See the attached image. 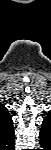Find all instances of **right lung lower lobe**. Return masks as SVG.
<instances>
[{
	"instance_id": "1",
	"label": "right lung lower lobe",
	"mask_w": 51,
	"mask_h": 150,
	"mask_svg": "<svg viewBox=\"0 0 51 150\" xmlns=\"http://www.w3.org/2000/svg\"><path fill=\"white\" fill-rule=\"evenodd\" d=\"M14 144H15V142H14ZM14 144H13V146H11L10 150H14Z\"/></svg>"
}]
</instances>
